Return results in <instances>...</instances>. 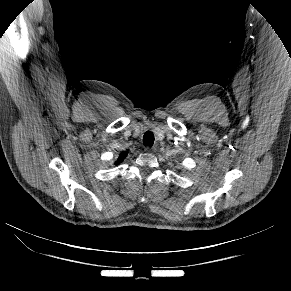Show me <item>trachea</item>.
<instances>
[{
  "mask_svg": "<svg viewBox=\"0 0 291 291\" xmlns=\"http://www.w3.org/2000/svg\"><path fill=\"white\" fill-rule=\"evenodd\" d=\"M154 143V135L152 132L147 131L143 136L144 146L152 147Z\"/></svg>",
  "mask_w": 291,
  "mask_h": 291,
  "instance_id": "1",
  "label": "trachea"
}]
</instances>
